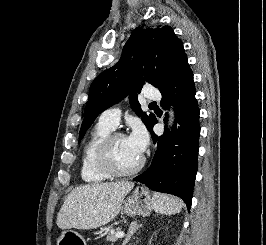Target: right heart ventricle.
Returning <instances> with one entry per match:
<instances>
[{
  "instance_id": "1",
  "label": "right heart ventricle",
  "mask_w": 266,
  "mask_h": 245,
  "mask_svg": "<svg viewBox=\"0 0 266 245\" xmlns=\"http://www.w3.org/2000/svg\"><path fill=\"white\" fill-rule=\"evenodd\" d=\"M112 130L113 128L108 124L98 121L87 136L80 162V177L84 183L89 185H99L109 180V177L104 175L98 169L95 155L102 140Z\"/></svg>"
}]
</instances>
